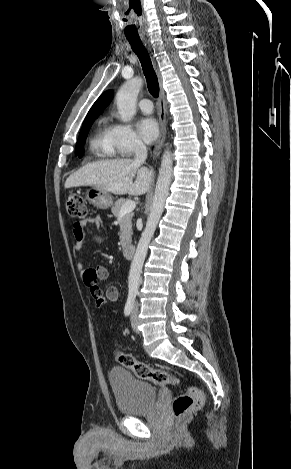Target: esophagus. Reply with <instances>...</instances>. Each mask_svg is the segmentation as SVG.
<instances>
[{"label": "esophagus", "mask_w": 291, "mask_h": 469, "mask_svg": "<svg viewBox=\"0 0 291 469\" xmlns=\"http://www.w3.org/2000/svg\"><path fill=\"white\" fill-rule=\"evenodd\" d=\"M145 43L147 44L148 42L145 41ZM155 68H156V72H157V75H158L159 86H160L159 101H158L160 134H159L158 140L155 143L154 152H153L154 153V158L158 157V155L160 153V150H161V147L164 143L165 136H166L165 91H164V88H163V85H162V78H161L160 72L158 71V68L156 67V64H155Z\"/></svg>", "instance_id": "34e87169"}]
</instances>
